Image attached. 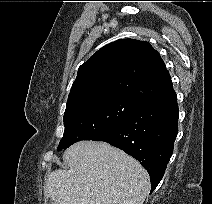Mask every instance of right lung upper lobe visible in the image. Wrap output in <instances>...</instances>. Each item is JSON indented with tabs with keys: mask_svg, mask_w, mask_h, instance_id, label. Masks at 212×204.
Returning a JSON list of instances; mask_svg holds the SVG:
<instances>
[{
	"mask_svg": "<svg viewBox=\"0 0 212 204\" xmlns=\"http://www.w3.org/2000/svg\"><path fill=\"white\" fill-rule=\"evenodd\" d=\"M171 88L164 62L148 42L120 39L79 67L66 107L110 96L141 103Z\"/></svg>",
	"mask_w": 212,
	"mask_h": 204,
	"instance_id": "1",
	"label": "right lung upper lobe"
}]
</instances>
